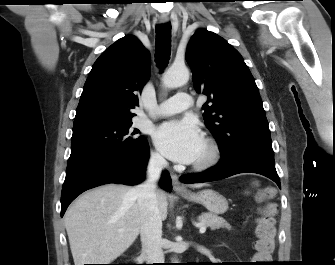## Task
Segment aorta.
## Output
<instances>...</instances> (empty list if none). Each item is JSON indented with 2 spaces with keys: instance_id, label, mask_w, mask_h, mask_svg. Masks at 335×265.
<instances>
[{
  "instance_id": "aorta-1",
  "label": "aorta",
  "mask_w": 335,
  "mask_h": 265,
  "mask_svg": "<svg viewBox=\"0 0 335 265\" xmlns=\"http://www.w3.org/2000/svg\"><path fill=\"white\" fill-rule=\"evenodd\" d=\"M189 80V71L185 66H172L163 76V85L168 89L180 87Z\"/></svg>"
}]
</instances>
